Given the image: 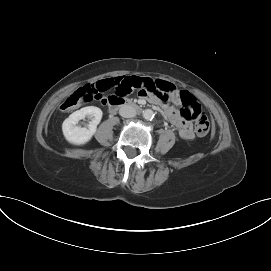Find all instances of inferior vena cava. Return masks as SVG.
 Here are the masks:
<instances>
[{"label":"inferior vena cava","instance_id":"602c4592","mask_svg":"<svg viewBox=\"0 0 271 271\" xmlns=\"http://www.w3.org/2000/svg\"><path fill=\"white\" fill-rule=\"evenodd\" d=\"M119 114L125 118H132L136 115V110L131 105H122Z\"/></svg>","mask_w":271,"mask_h":271}]
</instances>
